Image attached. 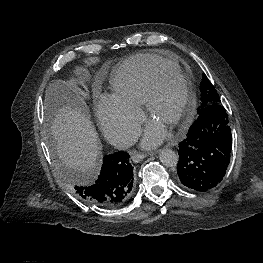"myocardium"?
I'll return each instance as SVG.
<instances>
[{"instance_id": "1", "label": "myocardium", "mask_w": 263, "mask_h": 263, "mask_svg": "<svg viewBox=\"0 0 263 263\" xmlns=\"http://www.w3.org/2000/svg\"><path fill=\"white\" fill-rule=\"evenodd\" d=\"M168 77L178 79L184 87V102L182 109L171 124L173 129L179 130L190 121L196 108V97L192 84L189 79L179 71V69H162L153 75L148 85L143 106L147 117L151 118L159 86L161 82Z\"/></svg>"}]
</instances>
